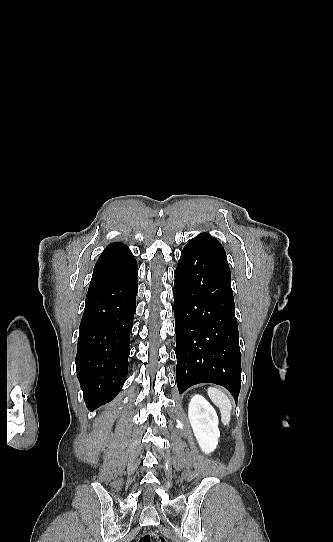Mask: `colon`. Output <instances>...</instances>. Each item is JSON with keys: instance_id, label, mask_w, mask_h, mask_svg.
I'll return each instance as SVG.
<instances>
[{"instance_id": "5ec220e1", "label": "colon", "mask_w": 333, "mask_h": 542, "mask_svg": "<svg viewBox=\"0 0 333 542\" xmlns=\"http://www.w3.org/2000/svg\"><path fill=\"white\" fill-rule=\"evenodd\" d=\"M138 542H166V539L155 532H144L140 535Z\"/></svg>"}]
</instances>
